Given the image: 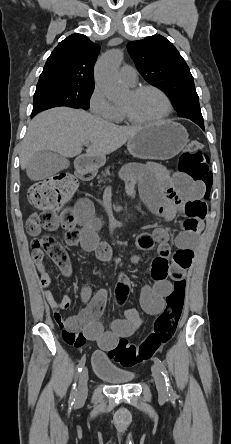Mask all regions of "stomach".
I'll return each mask as SVG.
<instances>
[{
    "mask_svg": "<svg viewBox=\"0 0 231 444\" xmlns=\"http://www.w3.org/2000/svg\"><path fill=\"white\" fill-rule=\"evenodd\" d=\"M188 133L179 123L167 120L143 127L127 143L129 153L140 159L167 160L183 150ZM104 156H81L76 168L82 173L93 172L105 164Z\"/></svg>",
    "mask_w": 231,
    "mask_h": 444,
    "instance_id": "stomach-1",
    "label": "stomach"
}]
</instances>
